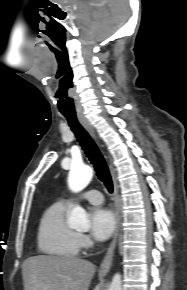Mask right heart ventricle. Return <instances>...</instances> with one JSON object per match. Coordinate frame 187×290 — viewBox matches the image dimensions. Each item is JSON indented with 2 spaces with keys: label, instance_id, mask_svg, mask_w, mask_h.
I'll list each match as a JSON object with an SVG mask.
<instances>
[{
  "label": "right heart ventricle",
  "instance_id": "obj_1",
  "mask_svg": "<svg viewBox=\"0 0 187 290\" xmlns=\"http://www.w3.org/2000/svg\"><path fill=\"white\" fill-rule=\"evenodd\" d=\"M68 207L66 202L58 201L43 212L37 232V244L42 253L59 258L78 255V234L68 226L65 219Z\"/></svg>",
  "mask_w": 187,
  "mask_h": 290
}]
</instances>
